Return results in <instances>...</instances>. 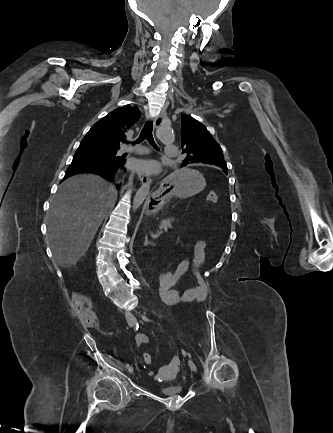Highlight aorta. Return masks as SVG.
I'll return each mask as SVG.
<instances>
[{
	"instance_id": "obj_1",
	"label": "aorta",
	"mask_w": 333,
	"mask_h": 433,
	"mask_svg": "<svg viewBox=\"0 0 333 433\" xmlns=\"http://www.w3.org/2000/svg\"><path fill=\"white\" fill-rule=\"evenodd\" d=\"M156 138L159 142L164 144H169L174 141V134L170 127L161 126L156 131ZM150 180L147 183L143 184L139 190L136 192V195L133 200V211H136L144 202L150 190Z\"/></svg>"
}]
</instances>
